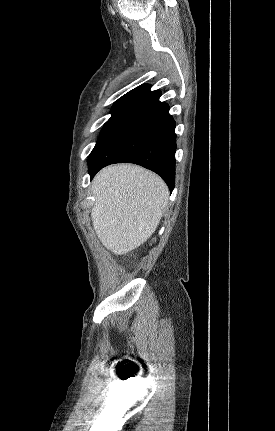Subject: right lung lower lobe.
Segmentation results:
<instances>
[{
    "label": "right lung lower lobe",
    "instance_id": "1",
    "mask_svg": "<svg viewBox=\"0 0 275 431\" xmlns=\"http://www.w3.org/2000/svg\"><path fill=\"white\" fill-rule=\"evenodd\" d=\"M175 121L159 100L136 112L89 164L91 179L114 163H135L157 173L172 192L175 185Z\"/></svg>",
    "mask_w": 275,
    "mask_h": 431
}]
</instances>
